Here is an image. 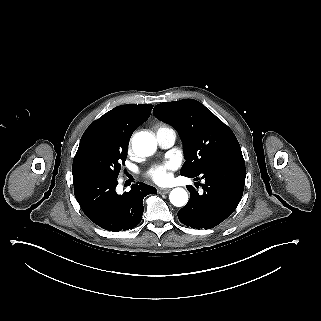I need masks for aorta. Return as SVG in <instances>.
<instances>
[{"label": "aorta", "instance_id": "1", "mask_svg": "<svg viewBox=\"0 0 321 321\" xmlns=\"http://www.w3.org/2000/svg\"><path fill=\"white\" fill-rule=\"evenodd\" d=\"M132 149L138 156H151L157 149L156 139L148 132H138L132 139ZM169 200L174 206L182 207L188 201V194L183 188H174Z\"/></svg>", "mask_w": 321, "mask_h": 321}]
</instances>
